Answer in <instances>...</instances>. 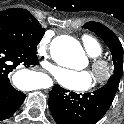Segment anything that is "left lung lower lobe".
<instances>
[{"instance_id":"obj_1","label":"left lung lower lobe","mask_w":124,"mask_h":124,"mask_svg":"<svg viewBox=\"0 0 124 124\" xmlns=\"http://www.w3.org/2000/svg\"><path fill=\"white\" fill-rule=\"evenodd\" d=\"M115 94L107 85L81 95L55 84L49 92V108L57 124H95L108 111Z\"/></svg>"}]
</instances>
